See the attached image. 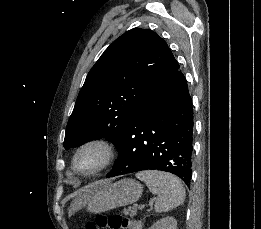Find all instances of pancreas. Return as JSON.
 Returning a JSON list of instances; mask_svg holds the SVG:
<instances>
[{"instance_id": "pancreas-1", "label": "pancreas", "mask_w": 261, "mask_h": 229, "mask_svg": "<svg viewBox=\"0 0 261 229\" xmlns=\"http://www.w3.org/2000/svg\"><path fill=\"white\" fill-rule=\"evenodd\" d=\"M124 215H130V217H135L137 215V209L133 207V211H129V209H126L124 211Z\"/></svg>"}]
</instances>
